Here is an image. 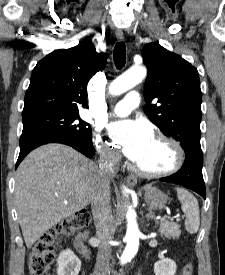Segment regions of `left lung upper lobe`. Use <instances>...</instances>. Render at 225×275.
I'll list each match as a JSON object with an SVG mask.
<instances>
[{
  "label": "left lung upper lobe",
  "mask_w": 225,
  "mask_h": 275,
  "mask_svg": "<svg viewBox=\"0 0 225 275\" xmlns=\"http://www.w3.org/2000/svg\"><path fill=\"white\" fill-rule=\"evenodd\" d=\"M148 75L144 85V107L149 119L180 142L185 152L201 149V89L195 67L159 43L142 49ZM152 101L156 104H150Z\"/></svg>",
  "instance_id": "obj_1"
}]
</instances>
